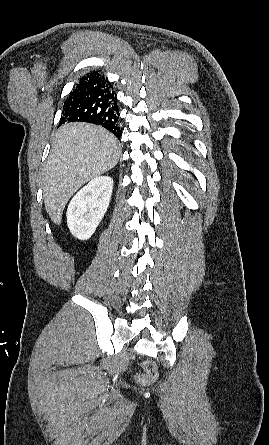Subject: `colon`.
I'll return each mask as SVG.
<instances>
[{"instance_id": "obj_1", "label": "colon", "mask_w": 269, "mask_h": 445, "mask_svg": "<svg viewBox=\"0 0 269 445\" xmlns=\"http://www.w3.org/2000/svg\"><path fill=\"white\" fill-rule=\"evenodd\" d=\"M144 372L139 376L142 383L152 382L157 376V368L152 361H146L143 365Z\"/></svg>"}]
</instances>
